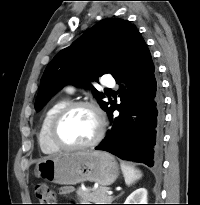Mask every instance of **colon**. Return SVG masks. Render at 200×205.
I'll list each match as a JSON object with an SVG mask.
<instances>
[{"instance_id": "5ec220e1", "label": "colon", "mask_w": 200, "mask_h": 205, "mask_svg": "<svg viewBox=\"0 0 200 205\" xmlns=\"http://www.w3.org/2000/svg\"><path fill=\"white\" fill-rule=\"evenodd\" d=\"M35 195L40 204L38 205H56V194L53 189L45 184L39 183L35 187Z\"/></svg>"}]
</instances>
